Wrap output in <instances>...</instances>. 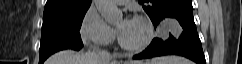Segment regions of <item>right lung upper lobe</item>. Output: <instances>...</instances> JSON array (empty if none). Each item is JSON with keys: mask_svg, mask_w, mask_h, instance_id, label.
Instances as JSON below:
<instances>
[{"mask_svg": "<svg viewBox=\"0 0 242 64\" xmlns=\"http://www.w3.org/2000/svg\"><path fill=\"white\" fill-rule=\"evenodd\" d=\"M90 5L91 0H47L44 15L86 11Z\"/></svg>", "mask_w": 242, "mask_h": 64, "instance_id": "right-lung-upper-lobe-1", "label": "right lung upper lobe"}]
</instances>
